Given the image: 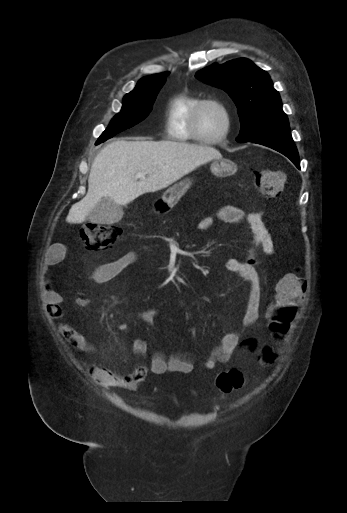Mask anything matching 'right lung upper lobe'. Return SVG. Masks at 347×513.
I'll list each match as a JSON object with an SVG mask.
<instances>
[{
    "label": "right lung upper lobe",
    "instance_id": "right-lung-upper-lobe-1",
    "mask_svg": "<svg viewBox=\"0 0 347 513\" xmlns=\"http://www.w3.org/2000/svg\"><path fill=\"white\" fill-rule=\"evenodd\" d=\"M168 74L169 73H161V74H155V75L147 76V77L142 78L138 82V84H142V83H145V82H150V81H154V80H157V79L165 78Z\"/></svg>",
    "mask_w": 347,
    "mask_h": 513
}]
</instances>
